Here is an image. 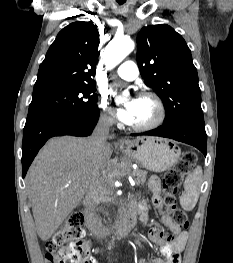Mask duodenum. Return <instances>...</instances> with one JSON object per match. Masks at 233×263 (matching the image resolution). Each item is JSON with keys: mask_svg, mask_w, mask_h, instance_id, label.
<instances>
[{"mask_svg": "<svg viewBox=\"0 0 233 263\" xmlns=\"http://www.w3.org/2000/svg\"><path fill=\"white\" fill-rule=\"evenodd\" d=\"M138 209L135 203L131 202L127 213L124 217L114 226L113 232L118 236H125L127 235L131 229L133 228ZM84 218H85V226L88 229L89 233L98 238V239H105L109 237L110 232L108 229L102 227L97 223L94 219L93 213L90 209H85L84 211Z\"/></svg>", "mask_w": 233, "mask_h": 263, "instance_id": "1", "label": "duodenum"}]
</instances>
